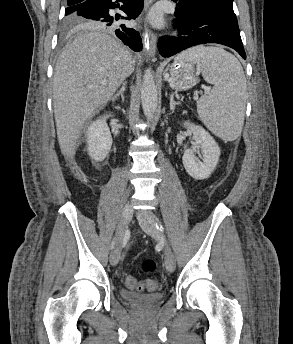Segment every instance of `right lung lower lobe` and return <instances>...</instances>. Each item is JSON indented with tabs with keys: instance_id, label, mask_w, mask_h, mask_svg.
I'll use <instances>...</instances> for the list:
<instances>
[{
	"instance_id": "right-lung-lower-lobe-1",
	"label": "right lung lower lobe",
	"mask_w": 293,
	"mask_h": 344,
	"mask_svg": "<svg viewBox=\"0 0 293 344\" xmlns=\"http://www.w3.org/2000/svg\"><path fill=\"white\" fill-rule=\"evenodd\" d=\"M122 2L123 5H119ZM120 8L127 17L114 16L110 9ZM143 0H84L78 4L76 13L95 23V28H103L115 33L124 44L134 51L142 50L139 32L117 22L120 19H135L142 11Z\"/></svg>"
}]
</instances>
